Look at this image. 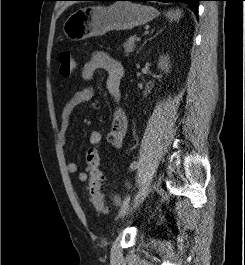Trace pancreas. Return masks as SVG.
I'll use <instances>...</instances> for the list:
<instances>
[{
	"instance_id": "cf45deb5",
	"label": "pancreas",
	"mask_w": 245,
	"mask_h": 265,
	"mask_svg": "<svg viewBox=\"0 0 245 265\" xmlns=\"http://www.w3.org/2000/svg\"><path fill=\"white\" fill-rule=\"evenodd\" d=\"M136 36H131L124 44H123V48H124V53L125 56H128L130 53H132L134 51V49L136 48Z\"/></svg>"
}]
</instances>
